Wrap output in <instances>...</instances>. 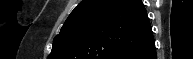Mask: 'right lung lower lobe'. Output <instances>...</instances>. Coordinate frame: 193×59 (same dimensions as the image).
Returning <instances> with one entry per match:
<instances>
[{"mask_svg": "<svg viewBox=\"0 0 193 59\" xmlns=\"http://www.w3.org/2000/svg\"><path fill=\"white\" fill-rule=\"evenodd\" d=\"M123 59H156L155 41L153 36L138 50Z\"/></svg>", "mask_w": 193, "mask_h": 59, "instance_id": "right-lung-lower-lobe-1", "label": "right lung lower lobe"}]
</instances>
